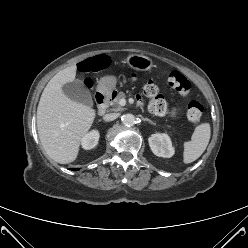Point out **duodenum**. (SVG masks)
I'll use <instances>...</instances> for the list:
<instances>
[{"mask_svg": "<svg viewBox=\"0 0 248 248\" xmlns=\"http://www.w3.org/2000/svg\"><path fill=\"white\" fill-rule=\"evenodd\" d=\"M111 98L112 94L109 92H97L95 94V100L98 103V114L102 115L105 112Z\"/></svg>", "mask_w": 248, "mask_h": 248, "instance_id": "duodenum-1", "label": "duodenum"}]
</instances>
